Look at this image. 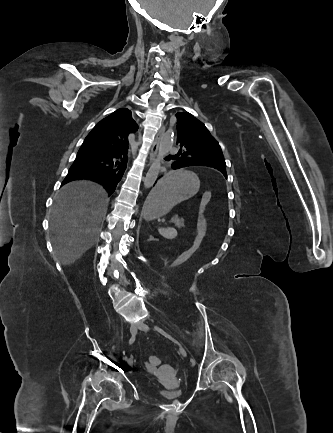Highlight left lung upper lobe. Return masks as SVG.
Returning <instances> with one entry per match:
<instances>
[{
	"label": "left lung upper lobe",
	"instance_id": "obj_1",
	"mask_svg": "<svg viewBox=\"0 0 333 433\" xmlns=\"http://www.w3.org/2000/svg\"><path fill=\"white\" fill-rule=\"evenodd\" d=\"M177 144L181 147L175 169L187 166H207L226 175V163L219 144L203 123L188 112L176 114Z\"/></svg>",
	"mask_w": 333,
	"mask_h": 433
}]
</instances>
